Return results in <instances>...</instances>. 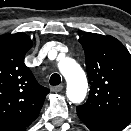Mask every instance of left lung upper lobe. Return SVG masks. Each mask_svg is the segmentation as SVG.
<instances>
[{
  "label": "left lung upper lobe",
  "mask_w": 131,
  "mask_h": 131,
  "mask_svg": "<svg viewBox=\"0 0 131 131\" xmlns=\"http://www.w3.org/2000/svg\"><path fill=\"white\" fill-rule=\"evenodd\" d=\"M79 42L90 94L77 114L91 131H121L131 122V55L112 36L88 33Z\"/></svg>",
  "instance_id": "obj_1"
}]
</instances>
